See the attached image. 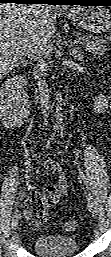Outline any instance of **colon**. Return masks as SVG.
<instances>
[{"label":"colon","mask_w":111,"mask_h":257,"mask_svg":"<svg viewBox=\"0 0 111 257\" xmlns=\"http://www.w3.org/2000/svg\"><path fill=\"white\" fill-rule=\"evenodd\" d=\"M63 227L67 232H73L77 228V223L73 219L66 220Z\"/></svg>","instance_id":"5ec220e1"}]
</instances>
